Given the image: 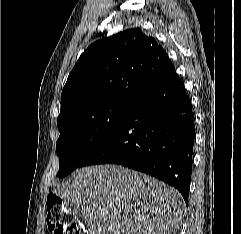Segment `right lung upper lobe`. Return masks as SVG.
I'll list each match as a JSON object with an SVG mask.
<instances>
[{
  "label": "right lung upper lobe",
  "mask_w": 241,
  "mask_h": 234,
  "mask_svg": "<svg viewBox=\"0 0 241 234\" xmlns=\"http://www.w3.org/2000/svg\"><path fill=\"white\" fill-rule=\"evenodd\" d=\"M173 69L162 46L140 28L98 40L84 51L68 76L57 125L90 106L132 104Z\"/></svg>",
  "instance_id": "obj_1"
}]
</instances>
